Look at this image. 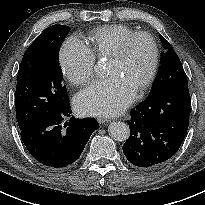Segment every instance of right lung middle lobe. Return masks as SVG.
I'll return each mask as SVG.
<instances>
[{"mask_svg": "<svg viewBox=\"0 0 205 205\" xmlns=\"http://www.w3.org/2000/svg\"><path fill=\"white\" fill-rule=\"evenodd\" d=\"M69 31L65 25L48 27L24 53L15 93L20 130L52 108L59 109L69 102L58 64L59 50Z\"/></svg>", "mask_w": 205, "mask_h": 205, "instance_id": "dd1d6c3e", "label": "right lung middle lobe"}]
</instances>
